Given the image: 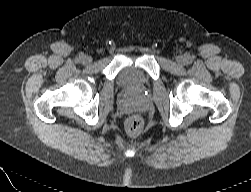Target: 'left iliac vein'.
<instances>
[{"label": "left iliac vein", "mask_w": 251, "mask_h": 192, "mask_svg": "<svg viewBox=\"0 0 251 192\" xmlns=\"http://www.w3.org/2000/svg\"><path fill=\"white\" fill-rule=\"evenodd\" d=\"M176 61H177V63L179 64V65H185V63H186V58L185 57H183V56H178L177 57V59H176Z\"/></svg>", "instance_id": "left-iliac-vein-1"}]
</instances>
